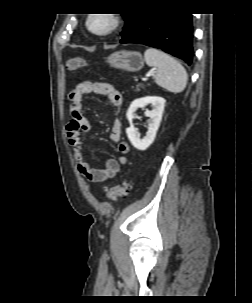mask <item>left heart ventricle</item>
<instances>
[{"mask_svg": "<svg viewBox=\"0 0 252 303\" xmlns=\"http://www.w3.org/2000/svg\"><path fill=\"white\" fill-rule=\"evenodd\" d=\"M106 24L105 19H97L94 21V26L95 27H103Z\"/></svg>", "mask_w": 252, "mask_h": 303, "instance_id": "obj_1", "label": "left heart ventricle"}]
</instances>
